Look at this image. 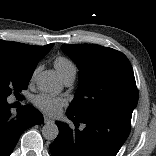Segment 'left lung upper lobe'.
<instances>
[{"instance_id": "left-lung-upper-lobe-1", "label": "left lung upper lobe", "mask_w": 156, "mask_h": 156, "mask_svg": "<svg viewBox=\"0 0 156 156\" xmlns=\"http://www.w3.org/2000/svg\"><path fill=\"white\" fill-rule=\"evenodd\" d=\"M61 48L78 66L80 78L67 112L80 117L102 112L132 117L138 92L132 66L123 53L95 44H64Z\"/></svg>"}]
</instances>
